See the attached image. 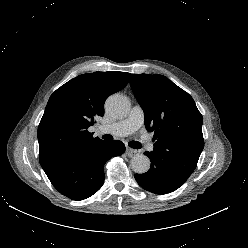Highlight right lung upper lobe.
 I'll return each instance as SVG.
<instances>
[{"instance_id": "cb5924a9", "label": "right lung upper lobe", "mask_w": 248, "mask_h": 248, "mask_svg": "<svg viewBox=\"0 0 248 248\" xmlns=\"http://www.w3.org/2000/svg\"><path fill=\"white\" fill-rule=\"evenodd\" d=\"M129 78L126 72L87 73L50 96L38 127L39 161L45 173L75 148L100 141L88 127L104 115L106 98L123 89Z\"/></svg>"}]
</instances>
